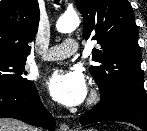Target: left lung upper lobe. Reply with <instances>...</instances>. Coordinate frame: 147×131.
<instances>
[{"instance_id": "5c2ea615", "label": "left lung upper lobe", "mask_w": 147, "mask_h": 131, "mask_svg": "<svg viewBox=\"0 0 147 131\" xmlns=\"http://www.w3.org/2000/svg\"><path fill=\"white\" fill-rule=\"evenodd\" d=\"M83 15V37L97 40L89 68L101 100L121 94L145 96L141 52L133 8L127 0H75Z\"/></svg>"}]
</instances>
